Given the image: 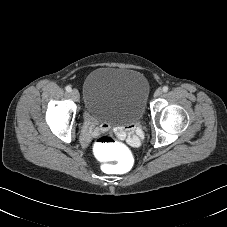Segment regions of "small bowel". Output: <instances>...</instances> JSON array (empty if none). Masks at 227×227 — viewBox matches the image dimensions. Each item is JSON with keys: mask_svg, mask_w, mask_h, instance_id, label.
<instances>
[{"mask_svg": "<svg viewBox=\"0 0 227 227\" xmlns=\"http://www.w3.org/2000/svg\"><path fill=\"white\" fill-rule=\"evenodd\" d=\"M129 130L130 129H121L120 136L126 139L127 143L131 145H137L140 141L139 137L132 134L131 132L127 134ZM95 135H97V128L90 115H87L84 122V128L80 136V141L82 144L87 145L90 142L91 137Z\"/></svg>", "mask_w": 227, "mask_h": 227, "instance_id": "obj_1", "label": "small bowel"}]
</instances>
